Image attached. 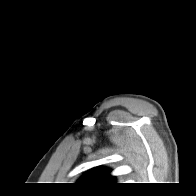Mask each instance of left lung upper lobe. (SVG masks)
Masks as SVG:
<instances>
[{"label":"left lung upper lobe","mask_w":196,"mask_h":196,"mask_svg":"<svg viewBox=\"0 0 196 196\" xmlns=\"http://www.w3.org/2000/svg\"><path fill=\"white\" fill-rule=\"evenodd\" d=\"M110 170L96 168L86 173L80 183L86 185H108L114 183V177L109 174Z\"/></svg>","instance_id":"obj_1"}]
</instances>
